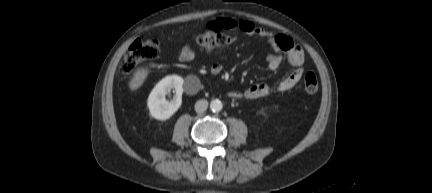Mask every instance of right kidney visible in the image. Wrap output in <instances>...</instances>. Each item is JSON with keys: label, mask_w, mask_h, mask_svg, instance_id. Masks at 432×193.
I'll list each match as a JSON object with an SVG mask.
<instances>
[{"label": "right kidney", "mask_w": 432, "mask_h": 193, "mask_svg": "<svg viewBox=\"0 0 432 193\" xmlns=\"http://www.w3.org/2000/svg\"><path fill=\"white\" fill-rule=\"evenodd\" d=\"M184 80L178 75H169L160 80L151 91L147 105L152 117L158 120L171 118L182 104ZM175 89L174 99L169 102L165 96L169 90Z\"/></svg>", "instance_id": "obj_1"}]
</instances>
